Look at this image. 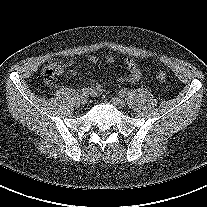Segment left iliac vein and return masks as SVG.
<instances>
[{"mask_svg":"<svg viewBox=\"0 0 207 207\" xmlns=\"http://www.w3.org/2000/svg\"><path fill=\"white\" fill-rule=\"evenodd\" d=\"M111 102L113 103L114 106L117 108H123L126 105V102L124 99L120 97H114L111 99Z\"/></svg>","mask_w":207,"mask_h":207,"instance_id":"left-iliac-vein-1","label":"left iliac vein"}]
</instances>
